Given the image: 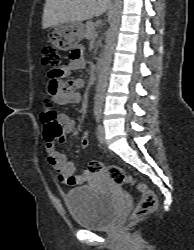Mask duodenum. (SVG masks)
I'll return each mask as SVG.
<instances>
[{
    "mask_svg": "<svg viewBox=\"0 0 194 250\" xmlns=\"http://www.w3.org/2000/svg\"><path fill=\"white\" fill-rule=\"evenodd\" d=\"M101 68H102V59L99 58L97 61H96V64H95V67H94V75H98L101 71Z\"/></svg>",
    "mask_w": 194,
    "mask_h": 250,
    "instance_id": "obj_1",
    "label": "duodenum"
}]
</instances>
